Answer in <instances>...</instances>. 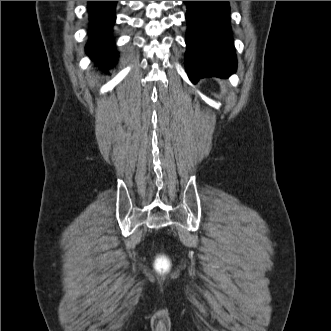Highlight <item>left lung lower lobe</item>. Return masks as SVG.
Here are the masks:
<instances>
[{
    "label": "left lung lower lobe",
    "instance_id": "0a47b994",
    "mask_svg": "<svg viewBox=\"0 0 331 331\" xmlns=\"http://www.w3.org/2000/svg\"><path fill=\"white\" fill-rule=\"evenodd\" d=\"M187 5L185 65L193 83L236 71L228 1H184Z\"/></svg>",
    "mask_w": 331,
    "mask_h": 331
}]
</instances>
